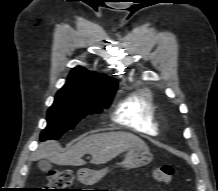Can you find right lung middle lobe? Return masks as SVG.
<instances>
[{"instance_id":"right-lung-middle-lobe-1","label":"right lung middle lobe","mask_w":218,"mask_h":191,"mask_svg":"<svg viewBox=\"0 0 218 191\" xmlns=\"http://www.w3.org/2000/svg\"><path fill=\"white\" fill-rule=\"evenodd\" d=\"M112 97L93 98L72 95L59 91L53 105L47 113V127L42 131L40 139H57L65 132L73 129L86 115L100 113L109 107Z\"/></svg>"}]
</instances>
